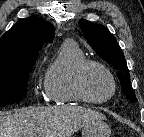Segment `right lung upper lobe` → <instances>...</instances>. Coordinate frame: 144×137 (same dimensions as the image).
Returning <instances> with one entry per match:
<instances>
[{"label": "right lung upper lobe", "mask_w": 144, "mask_h": 137, "mask_svg": "<svg viewBox=\"0 0 144 137\" xmlns=\"http://www.w3.org/2000/svg\"><path fill=\"white\" fill-rule=\"evenodd\" d=\"M53 26L35 15L18 21L0 39V64L37 59L44 42L54 38Z\"/></svg>", "instance_id": "1"}]
</instances>
